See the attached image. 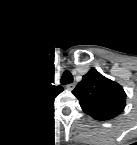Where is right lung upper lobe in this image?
Returning <instances> with one entry per match:
<instances>
[{"mask_svg": "<svg viewBox=\"0 0 137 145\" xmlns=\"http://www.w3.org/2000/svg\"><path fill=\"white\" fill-rule=\"evenodd\" d=\"M61 86L51 84L48 74H37L19 91L13 101L16 114L23 120L40 118L51 107Z\"/></svg>", "mask_w": 137, "mask_h": 145, "instance_id": "right-lung-upper-lobe-1", "label": "right lung upper lobe"}]
</instances>
